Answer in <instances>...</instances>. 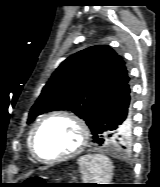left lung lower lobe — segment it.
Returning a JSON list of instances; mask_svg holds the SVG:
<instances>
[{
    "mask_svg": "<svg viewBox=\"0 0 160 187\" xmlns=\"http://www.w3.org/2000/svg\"><path fill=\"white\" fill-rule=\"evenodd\" d=\"M127 125L120 134L118 129ZM131 129L130 86L129 82L112 95L101 107L91 131L97 146L124 149L127 132ZM128 150V149H126Z\"/></svg>",
    "mask_w": 160,
    "mask_h": 187,
    "instance_id": "obj_1",
    "label": "left lung lower lobe"
}]
</instances>
